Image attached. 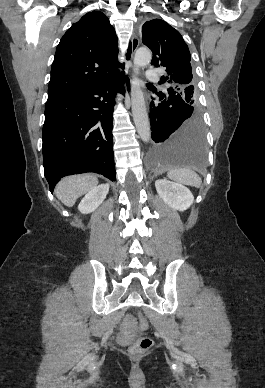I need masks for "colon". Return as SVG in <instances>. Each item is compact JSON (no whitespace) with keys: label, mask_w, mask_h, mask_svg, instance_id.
<instances>
[{"label":"colon","mask_w":265,"mask_h":388,"mask_svg":"<svg viewBox=\"0 0 265 388\" xmlns=\"http://www.w3.org/2000/svg\"><path fill=\"white\" fill-rule=\"evenodd\" d=\"M139 327H140V330L142 331H146L149 327L148 320L141 313L139 316ZM152 343L153 341L150 337L142 336L137 339L135 344L132 346L131 350L134 353H140L148 350L152 346Z\"/></svg>","instance_id":"5ec220e1"}]
</instances>
